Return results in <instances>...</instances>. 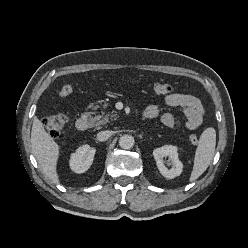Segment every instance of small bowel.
<instances>
[{"label": "small bowel", "mask_w": 248, "mask_h": 248, "mask_svg": "<svg viewBox=\"0 0 248 248\" xmlns=\"http://www.w3.org/2000/svg\"><path fill=\"white\" fill-rule=\"evenodd\" d=\"M166 105L170 107H181L186 118V126L188 129L194 130L198 128L204 116V108L201 101L190 94L172 93L164 98ZM147 119L159 117L161 122L167 127L175 125V116L172 113H161L156 105L148 106L143 113Z\"/></svg>", "instance_id": "obj_1"}]
</instances>
